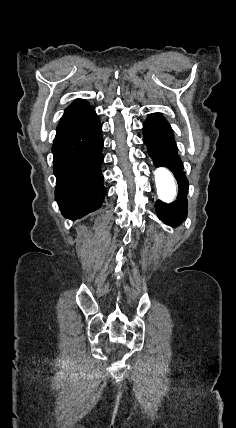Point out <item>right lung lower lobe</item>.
Wrapping results in <instances>:
<instances>
[{"mask_svg": "<svg viewBox=\"0 0 236 428\" xmlns=\"http://www.w3.org/2000/svg\"><path fill=\"white\" fill-rule=\"evenodd\" d=\"M102 125L94 107L66 108L52 147L57 185L55 200L65 218L76 220L102 205Z\"/></svg>", "mask_w": 236, "mask_h": 428, "instance_id": "right-lung-lower-lobe-1", "label": "right lung lower lobe"}]
</instances>
